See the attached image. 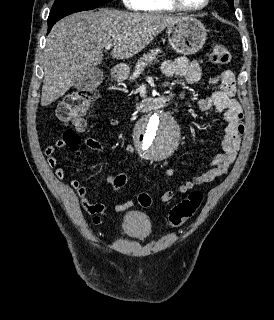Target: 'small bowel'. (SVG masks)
Listing matches in <instances>:
<instances>
[{"label": "small bowel", "instance_id": "1", "mask_svg": "<svg viewBox=\"0 0 274 320\" xmlns=\"http://www.w3.org/2000/svg\"><path fill=\"white\" fill-rule=\"evenodd\" d=\"M162 70L168 77H184L186 82L190 85H197L202 81V73L199 63L196 60H190L184 56H178L165 61L162 66ZM210 83L216 85L217 89L211 96L201 98L198 101L197 106L201 111H207L212 107H215L216 110L223 115L226 126L222 140V152L216 155L207 170L196 175L191 180L178 185L175 189L165 191L160 197L162 202H169L177 194H184L196 186L211 182L217 177L223 175L237 156L241 138L245 132V123L242 107L234 98L236 92V76L233 71L224 69L211 78ZM73 124L75 131H84L85 126H89L90 121L89 119H74ZM111 124L115 125L117 124V121L112 120ZM83 143L87 148L93 151H103L102 143L95 138H85ZM64 145L63 140H54L53 145L42 147L43 153L51 152L47 159L50 167L54 168L57 165V159L53 156V153L57 148L63 147ZM125 150L129 153H133L135 152V147L132 145H126ZM55 175L57 178L63 179L65 171L62 168H57L55 170ZM173 175L174 171L172 169H168L166 171L167 177L171 178ZM117 176L107 175L105 177V182L113 185ZM70 186L76 192L83 209L91 215V220L94 224L102 223L103 218L108 213L123 212L132 205V201H126L109 208L104 203L91 202L88 199L86 187L79 180H71Z\"/></svg>", "mask_w": 274, "mask_h": 320}]
</instances>
